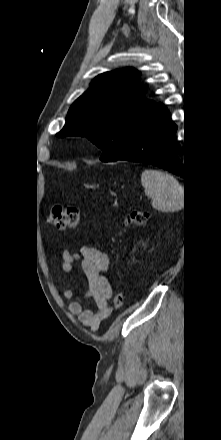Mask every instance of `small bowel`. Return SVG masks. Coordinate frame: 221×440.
Listing matches in <instances>:
<instances>
[{"label": "small bowel", "instance_id": "obj_1", "mask_svg": "<svg viewBox=\"0 0 221 440\" xmlns=\"http://www.w3.org/2000/svg\"><path fill=\"white\" fill-rule=\"evenodd\" d=\"M79 261L86 280V297L93 300L94 309H84L80 300L75 299L76 294L72 289H66L63 296L72 300L68 310L79 315L81 322L90 330L96 331L101 322L111 313L108 300L112 296V287L107 277L109 270L108 255L91 246H83L79 253L62 252L61 269L67 273H75L73 263Z\"/></svg>", "mask_w": 221, "mask_h": 440}]
</instances>
